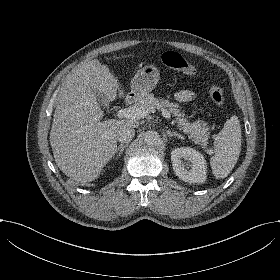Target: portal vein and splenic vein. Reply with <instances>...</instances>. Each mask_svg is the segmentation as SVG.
Masks as SVG:
<instances>
[{"mask_svg": "<svg viewBox=\"0 0 280 280\" xmlns=\"http://www.w3.org/2000/svg\"><path fill=\"white\" fill-rule=\"evenodd\" d=\"M119 116L133 119V120H141L143 118H146L150 115L149 110H145L144 108H138V107H128L125 109H121L118 112ZM161 114L163 117L169 118L170 112L166 108H161ZM209 154H213L212 151H209Z\"/></svg>", "mask_w": 280, "mask_h": 280, "instance_id": "portal-vein-and-splenic-vein-1", "label": "portal vein and splenic vein"}]
</instances>
